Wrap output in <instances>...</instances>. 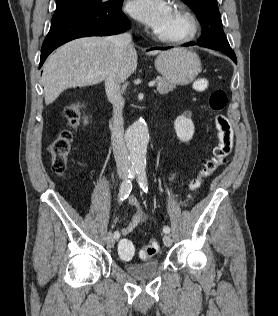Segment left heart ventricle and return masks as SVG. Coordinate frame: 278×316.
<instances>
[{"label": "left heart ventricle", "mask_w": 278, "mask_h": 316, "mask_svg": "<svg viewBox=\"0 0 278 316\" xmlns=\"http://www.w3.org/2000/svg\"><path fill=\"white\" fill-rule=\"evenodd\" d=\"M185 29L184 20L172 9L164 24L159 28L158 32L163 34H179Z\"/></svg>", "instance_id": "left-heart-ventricle-1"}]
</instances>
